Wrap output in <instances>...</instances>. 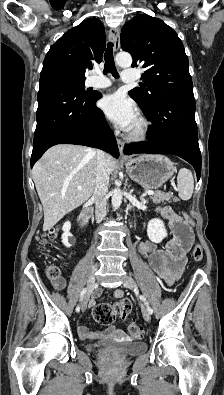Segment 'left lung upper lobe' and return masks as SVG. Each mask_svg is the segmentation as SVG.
<instances>
[{"mask_svg":"<svg viewBox=\"0 0 224 395\" xmlns=\"http://www.w3.org/2000/svg\"><path fill=\"white\" fill-rule=\"evenodd\" d=\"M121 47L133 57L132 67L141 66V88L129 95L144 111L163 101L193 95L188 57L176 32L162 20L138 14L121 31Z\"/></svg>","mask_w":224,"mask_h":395,"instance_id":"1","label":"left lung upper lobe"}]
</instances>
